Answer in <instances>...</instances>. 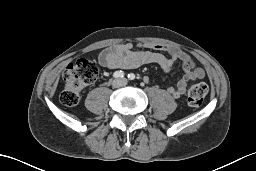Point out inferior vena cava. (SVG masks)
I'll use <instances>...</instances> for the list:
<instances>
[{"label":"inferior vena cava","mask_w":256,"mask_h":171,"mask_svg":"<svg viewBox=\"0 0 256 171\" xmlns=\"http://www.w3.org/2000/svg\"><path fill=\"white\" fill-rule=\"evenodd\" d=\"M125 84H126V81L123 80V83L119 84L118 86H123V85H125Z\"/></svg>","instance_id":"inferior-vena-cava-1"}]
</instances>
